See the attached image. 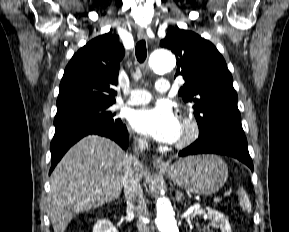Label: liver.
Returning <instances> with one entry per match:
<instances>
[{"mask_svg": "<svg viewBox=\"0 0 289 232\" xmlns=\"http://www.w3.org/2000/svg\"><path fill=\"white\" fill-rule=\"evenodd\" d=\"M128 155L108 138L90 135L64 155L50 177L49 218L64 232L75 215L120 196ZM142 178V168L137 169Z\"/></svg>", "mask_w": 289, "mask_h": 232, "instance_id": "1", "label": "liver"}]
</instances>
